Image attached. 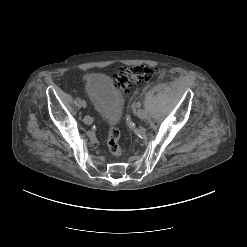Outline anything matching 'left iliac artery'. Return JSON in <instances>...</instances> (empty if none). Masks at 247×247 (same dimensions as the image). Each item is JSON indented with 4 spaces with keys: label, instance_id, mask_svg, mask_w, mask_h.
Segmentation results:
<instances>
[{
    "label": "left iliac artery",
    "instance_id": "44dca946",
    "mask_svg": "<svg viewBox=\"0 0 247 247\" xmlns=\"http://www.w3.org/2000/svg\"><path fill=\"white\" fill-rule=\"evenodd\" d=\"M138 113H139L140 115H144L146 112H145L143 109H139V110H138Z\"/></svg>",
    "mask_w": 247,
    "mask_h": 247
}]
</instances>
